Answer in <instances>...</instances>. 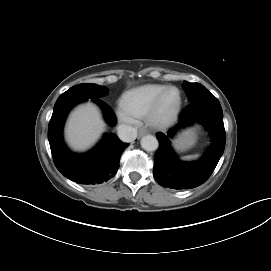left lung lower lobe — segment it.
I'll return each mask as SVG.
<instances>
[{
    "label": "left lung lower lobe",
    "mask_w": 271,
    "mask_h": 271,
    "mask_svg": "<svg viewBox=\"0 0 271 271\" xmlns=\"http://www.w3.org/2000/svg\"><path fill=\"white\" fill-rule=\"evenodd\" d=\"M201 123L212 137V144L196 162H182L170 145L172 137L183 127ZM159 148L154 157L153 176L163 187L190 189L203 184L214 171L225 148L223 111L216 97L208 96L190 103L179 118L178 124L167 135L158 133Z\"/></svg>",
    "instance_id": "0a47b994"
}]
</instances>
